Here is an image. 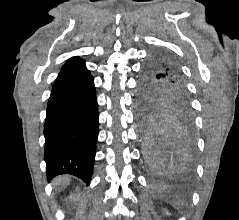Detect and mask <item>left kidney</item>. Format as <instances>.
I'll list each match as a JSON object with an SVG mask.
<instances>
[{"label":"left kidney","mask_w":239,"mask_h":220,"mask_svg":"<svg viewBox=\"0 0 239 220\" xmlns=\"http://www.w3.org/2000/svg\"><path fill=\"white\" fill-rule=\"evenodd\" d=\"M165 213H166L167 215H169V213H168L167 211H165Z\"/></svg>","instance_id":"5707ae66"}]
</instances>
